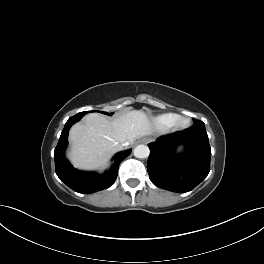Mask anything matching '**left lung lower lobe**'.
I'll return each mask as SVG.
<instances>
[{"label": "left lung lower lobe", "mask_w": 264, "mask_h": 264, "mask_svg": "<svg viewBox=\"0 0 264 264\" xmlns=\"http://www.w3.org/2000/svg\"><path fill=\"white\" fill-rule=\"evenodd\" d=\"M179 145L185 147L182 154L176 152ZM148 146V174L159 188L185 193L202 182L210 171L211 148L204 123L162 136Z\"/></svg>", "instance_id": "0a47b994"}]
</instances>
